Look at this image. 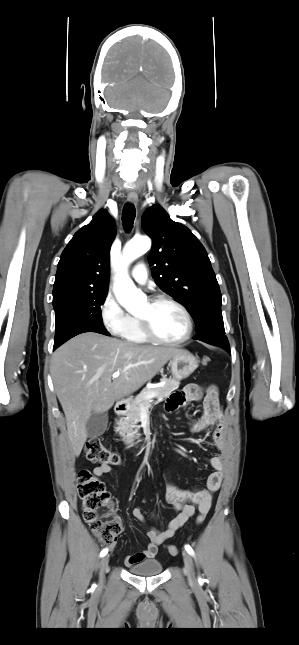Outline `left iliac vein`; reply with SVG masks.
Masks as SVG:
<instances>
[{
	"instance_id": "left-iliac-vein-1",
	"label": "left iliac vein",
	"mask_w": 299,
	"mask_h": 645,
	"mask_svg": "<svg viewBox=\"0 0 299 645\" xmlns=\"http://www.w3.org/2000/svg\"><path fill=\"white\" fill-rule=\"evenodd\" d=\"M183 561H184V573L188 578V581L191 584L196 583V576L193 567V560L190 554L187 551L182 552Z\"/></svg>"
}]
</instances>
